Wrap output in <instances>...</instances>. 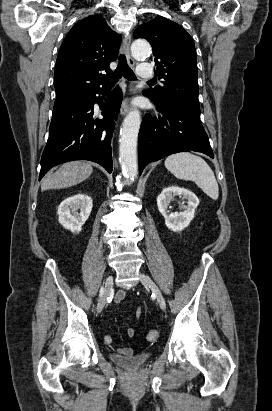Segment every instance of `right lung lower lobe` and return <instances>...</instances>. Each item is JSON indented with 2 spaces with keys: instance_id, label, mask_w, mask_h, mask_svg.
I'll list each match as a JSON object with an SVG mask.
<instances>
[{
  "instance_id": "obj_1",
  "label": "right lung lower lobe",
  "mask_w": 272,
  "mask_h": 411,
  "mask_svg": "<svg viewBox=\"0 0 272 411\" xmlns=\"http://www.w3.org/2000/svg\"><path fill=\"white\" fill-rule=\"evenodd\" d=\"M107 94L105 87L72 105L53 111L39 180L53 166L72 160L93 161L112 172L111 138L122 92L116 87L109 98L104 97ZM95 103L102 110V118H97L93 111Z\"/></svg>"
}]
</instances>
